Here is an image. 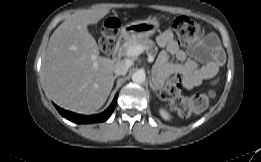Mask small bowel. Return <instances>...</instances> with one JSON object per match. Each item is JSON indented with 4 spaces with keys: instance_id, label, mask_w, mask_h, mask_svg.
<instances>
[{
    "instance_id": "obj_1",
    "label": "small bowel",
    "mask_w": 261,
    "mask_h": 162,
    "mask_svg": "<svg viewBox=\"0 0 261 162\" xmlns=\"http://www.w3.org/2000/svg\"><path fill=\"white\" fill-rule=\"evenodd\" d=\"M157 42L165 48L158 56V69L164 75L173 73L182 75L184 86L188 89L198 86L203 80H213L225 62L224 51L213 34L196 42L189 50L194 59L204 64L202 67L187 59L186 52L181 49L170 30L162 32L157 37ZM171 56L181 63L172 62Z\"/></svg>"
}]
</instances>
